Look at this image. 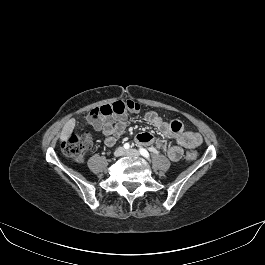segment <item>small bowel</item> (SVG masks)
Returning <instances> with one entry per match:
<instances>
[{"label":"small bowel","instance_id":"small-bowel-1","mask_svg":"<svg viewBox=\"0 0 265 265\" xmlns=\"http://www.w3.org/2000/svg\"><path fill=\"white\" fill-rule=\"evenodd\" d=\"M144 120L155 126L163 136L172 138L173 141L165 143L149 132H142L136 136V142L166 152L172 161L181 159L184 148H195L202 143L200 134L184 131L183 124L179 120L166 121L155 111L146 112ZM126 127V116L108 119L103 124L95 126L97 130L103 133L104 143L108 147H112L116 143Z\"/></svg>","mask_w":265,"mask_h":265}]
</instances>
